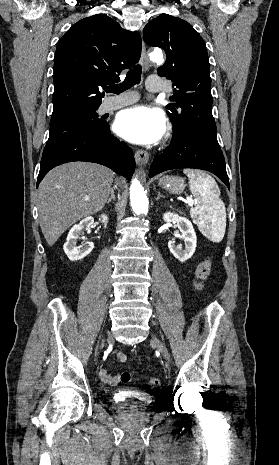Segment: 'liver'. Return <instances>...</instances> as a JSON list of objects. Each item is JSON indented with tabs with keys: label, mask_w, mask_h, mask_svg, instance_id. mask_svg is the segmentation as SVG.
I'll list each match as a JSON object with an SVG mask.
<instances>
[{
	"label": "liver",
	"mask_w": 279,
	"mask_h": 465,
	"mask_svg": "<svg viewBox=\"0 0 279 465\" xmlns=\"http://www.w3.org/2000/svg\"><path fill=\"white\" fill-rule=\"evenodd\" d=\"M114 179L110 169L89 162L62 164L47 173L38 188L37 205L49 246L72 224L102 210Z\"/></svg>",
	"instance_id": "obj_1"
}]
</instances>
